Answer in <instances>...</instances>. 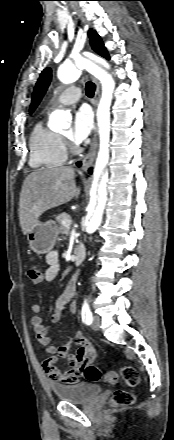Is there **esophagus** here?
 <instances>
[{"instance_id": "1", "label": "esophagus", "mask_w": 174, "mask_h": 440, "mask_svg": "<svg viewBox=\"0 0 174 440\" xmlns=\"http://www.w3.org/2000/svg\"><path fill=\"white\" fill-rule=\"evenodd\" d=\"M99 98H100V84L96 80V90H95V96H94V102H93L95 112H96V108L98 106ZM97 136H98V127H97V124H95L94 136H93L92 142L90 144L89 151L85 155V157L83 158V161H82V170L83 171H87V169L94 162V159L97 154V148H98V137Z\"/></svg>"}]
</instances>
